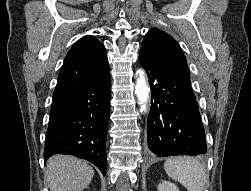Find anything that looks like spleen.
<instances>
[{"label":"spleen","mask_w":251,"mask_h":191,"mask_svg":"<svg viewBox=\"0 0 251 191\" xmlns=\"http://www.w3.org/2000/svg\"><path fill=\"white\" fill-rule=\"evenodd\" d=\"M164 169L169 177L180 181L188 191H203L206 183L204 165L188 155L170 157L164 163Z\"/></svg>","instance_id":"3e777b00"}]
</instances>
